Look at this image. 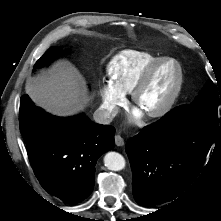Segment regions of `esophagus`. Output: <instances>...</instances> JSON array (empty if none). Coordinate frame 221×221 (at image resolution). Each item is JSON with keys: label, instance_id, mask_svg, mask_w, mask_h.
<instances>
[{"label": "esophagus", "instance_id": "esophagus-1", "mask_svg": "<svg viewBox=\"0 0 221 221\" xmlns=\"http://www.w3.org/2000/svg\"><path fill=\"white\" fill-rule=\"evenodd\" d=\"M115 144L117 146H123L124 145V139L120 135L115 136Z\"/></svg>", "mask_w": 221, "mask_h": 221}]
</instances>
